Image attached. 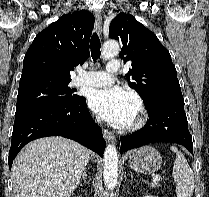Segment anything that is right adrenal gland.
I'll list each match as a JSON object with an SVG mask.
<instances>
[{
    "mask_svg": "<svg viewBox=\"0 0 209 197\" xmlns=\"http://www.w3.org/2000/svg\"><path fill=\"white\" fill-rule=\"evenodd\" d=\"M86 176H87V171H86V169L83 171V173H82V178H81V180H80V185H82L81 184V181L83 180V181H86Z\"/></svg>",
    "mask_w": 209,
    "mask_h": 197,
    "instance_id": "right-adrenal-gland-1",
    "label": "right adrenal gland"
}]
</instances>
